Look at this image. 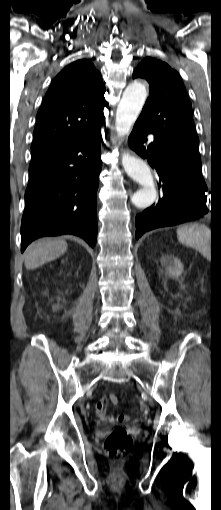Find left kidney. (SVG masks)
I'll return each instance as SVG.
<instances>
[{
	"instance_id": "obj_1",
	"label": "left kidney",
	"mask_w": 221,
	"mask_h": 510,
	"mask_svg": "<svg viewBox=\"0 0 221 510\" xmlns=\"http://www.w3.org/2000/svg\"><path fill=\"white\" fill-rule=\"evenodd\" d=\"M161 264L165 267L167 273L172 276H180L183 272V264L172 255H166L161 258Z\"/></svg>"
}]
</instances>
